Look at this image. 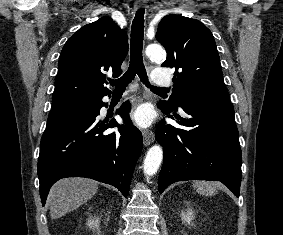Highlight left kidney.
I'll return each mask as SVG.
<instances>
[{"instance_id":"1","label":"left kidney","mask_w":283,"mask_h":235,"mask_svg":"<svg viewBox=\"0 0 283 235\" xmlns=\"http://www.w3.org/2000/svg\"><path fill=\"white\" fill-rule=\"evenodd\" d=\"M181 218L183 222L190 224V222L194 219V212L192 209H188L186 212H182Z\"/></svg>"}]
</instances>
